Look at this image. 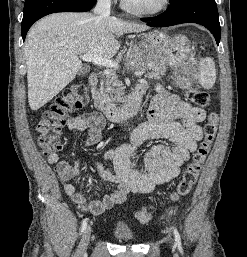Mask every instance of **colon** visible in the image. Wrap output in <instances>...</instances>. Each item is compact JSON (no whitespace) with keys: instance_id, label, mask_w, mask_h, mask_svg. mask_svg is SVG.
Returning <instances> with one entry per match:
<instances>
[{"instance_id":"5ec220e1","label":"colon","mask_w":247,"mask_h":257,"mask_svg":"<svg viewBox=\"0 0 247 257\" xmlns=\"http://www.w3.org/2000/svg\"><path fill=\"white\" fill-rule=\"evenodd\" d=\"M187 97L199 107L207 106L210 101L209 94L199 88H190L187 91ZM88 100L87 87L80 83L73 84L57 96L50 108L42 114L37 124V131L39 145L45 155L56 153L61 149V131L66 118L73 111L83 108ZM217 129L218 116L211 113L203 127V141L195 152L192 162L183 172L176 189L172 192L170 196L172 201L179 200L191 191L210 151ZM135 216L140 223L145 224L152 217V208L142 207L136 212Z\"/></svg>"}]
</instances>
